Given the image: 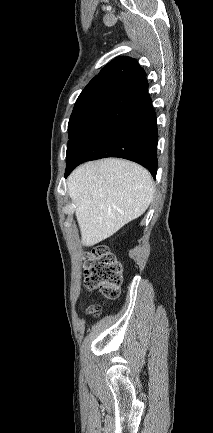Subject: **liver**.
<instances>
[{
  "mask_svg": "<svg viewBox=\"0 0 213 433\" xmlns=\"http://www.w3.org/2000/svg\"><path fill=\"white\" fill-rule=\"evenodd\" d=\"M67 186L86 246L105 240L141 216L155 192L147 169L115 158L80 165L68 177Z\"/></svg>",
  "mask_w": 213,
  "mask_h": 433,
  "instance_id": "1",
  "label": "liver"
}]
</instances>
